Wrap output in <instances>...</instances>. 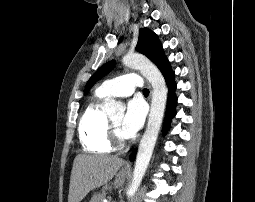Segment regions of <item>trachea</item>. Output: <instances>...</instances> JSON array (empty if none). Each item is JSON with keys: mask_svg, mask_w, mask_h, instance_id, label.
<instances>
[{"mask_svg": "<svg viewBox=\"0 0 255 202\" xmlns=\"http://www.w3.org/2000/svg\"><path fill=\"white\" fill-rule=\"evenodd\" d=\"M143 93L146 94V95H148V94H149V90L145 88V89L143 90Z\"/></svg>", "mask_w": 255, "mask_h": 202, "instance_id": "3493384b", "label": "trachea"}]
</instances>
